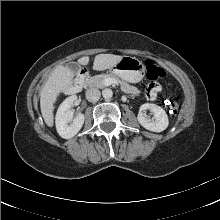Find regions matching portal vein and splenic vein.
Wrapping results in <instances>:
<instances>
[{"label": "portal vein and splenic vein", "mask_w": 220, "mask_h": 220, "mask_svg": "<svg viewBox=\"0 0 220 220\" xmlns=\"http://www.w3.org/2000/svg\"><path fill=\"white\" fill-rule=\"evenodd\" d=\"M104 83H105V85L108 86V85H111L113 83H117V81L114 80V79H111V78H107V79H105Z\"/></svg>", "instance_id": "18ae733b"}]
</instances>
